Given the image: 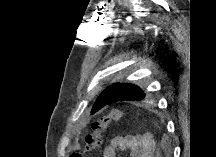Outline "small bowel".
I'll list each match as a JSON object with an SVG mask.
<instances>
[{
  "label": "small bowel",
  "mask_w": 216,
  "mask_h": 157,
  "mask_svg": "<svg viewBox=\"0 0 216 157\" xmlns=\"http://www.w3.org/2000/svg\"><path fill=\"white\" fill-rule=\"evenodd\" d=\"M118 150L129 151L131 157H153L156 142L153 134L149 132L141 135L117 136L106 145L103 157H115Z\"/></svg>",
  "instance_id": "c3829d8e"
}]
</instances>
